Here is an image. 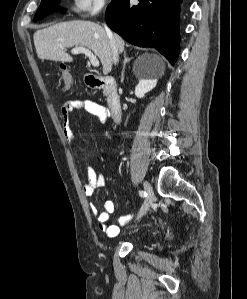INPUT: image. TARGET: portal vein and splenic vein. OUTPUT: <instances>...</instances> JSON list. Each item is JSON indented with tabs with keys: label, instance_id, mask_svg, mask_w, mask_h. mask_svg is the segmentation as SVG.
Segmentation results:
<instances>
[{
	"label": "portal vein and splenic vein",
	"instance_id": "18ae733b",
	"mask_svg": "<svg viewBox=\"0 0 247 299\" xmlns=\"http://www.w3.org/2000/svg\"><path fill=\"white\" fill-rule=\"evenodd\" d=\"M71 53H73V54L83 53L88 57L92 66H94V67L99 66V61H98L97 57L89 49H87L85 47H75L71 50Z\"/></svg>",
	"mask_w": 247,
	"mask_h": 299
}]
</instances>
